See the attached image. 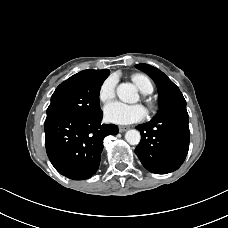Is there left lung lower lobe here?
I'll list each match as a JSON object with an SVG mask.
<instances>
[{"label": "left lung lower lobe", "mask_w": 228, "mask_h": 228, "mask_svg": "<svg viewBox=\"0 0 228 228\" xmlns=\"http://www.w3.org/2000/svg\"><path fill=\"white\" fill-rule=\"evenodd\" d=\"M136 128L141 133V141L135 153L147 170L166 174L182 165L190 136L186 103L178 104Z\"/></svg>", "instance_id": "1"}]
</instances>
